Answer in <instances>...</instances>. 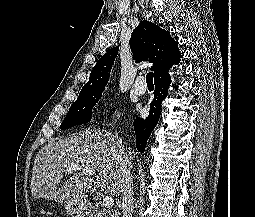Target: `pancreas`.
<instances>
[{
  "label": "pancreas",
  "mask_w": 255,
  "mask_h": 217,
  "mask_svg": "<svg viewBox=\"0 0 255 217\" xmlns=\"http://www.w3.org/2000/svg\"><path fill=\"white\" fill-rule=\"evenodd\" d=\"M119 217L117 211L106 209L103 205H98L93 207L92 212L89 217Z\"/></svg>",
  "instance_id": "pancreas-1"
}]
</instances>
